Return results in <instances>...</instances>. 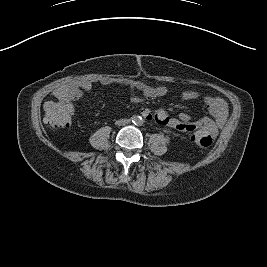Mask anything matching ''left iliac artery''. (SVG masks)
<instances>
[{"mask_svg":"<svg viewBox=\"0 0 267 267\" xmlns=\"http://www.w3.org/2000/svg\"><path fill=\"white\" fill-rule=\"evenodd\" d=\"M143 122H144V121H143V120H141V121H140L138 124H139V125H142V124H143Z\"/></svg>","mask_w":267,"mask_h":267,"instance_id":"left-iliac-artery-1","label":"left iliac artery"}]
</instances>
